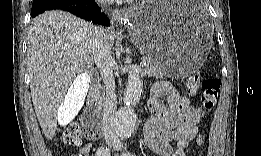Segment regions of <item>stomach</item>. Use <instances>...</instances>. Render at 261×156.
I'll return each mask as SVG.
<instances>
[{
    "label": "stomach",
    "mask_w": 261,
    "mask_h": 156,
    "mask_svg": "<svg viewBox=\"0 0 261 156\" xmlns=\"http://www.w3.org/2000/svg\"><path fill=\"white\" fill-rule=\"evenodd\" d=\"M187 8L185 3L143 2L130 8L125 19L138 48L170 78L193 73L212 45L210 24Z\"/></svg>",
    "instance_id": "stomach-1"
}]
</instances>
